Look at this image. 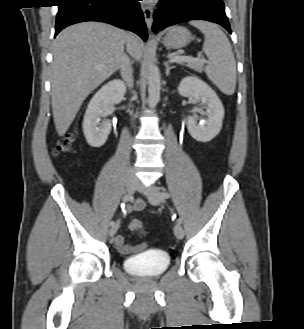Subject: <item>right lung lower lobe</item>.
<instances>
[{"instance_id":"obj_1","label":"right lung lower lobe","mask_w":304,"mask_h":329,"mask_svg":"<svg viewBox=\"0 0 304 329\" xmlns=\"http://www.w3.org/2000/svg\"><path fill=\"white\" fill-rule=\"evenodd\" d=\"M138 0H61L55 36L65 27L85 21H99L132 31L144 41L146 25Z\"/></svg>"}]
</instances>
